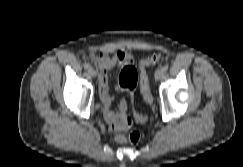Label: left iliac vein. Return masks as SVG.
I'll list each match as a JSON object with an SVG mask.
<instances>
[{
    "label": "left iliac vein",
    "mask_w": 243,
    "mask_h": 167,
    "mask_svg": "<svg viewBox=\"0 0 243 167\" xmlns=\"http://www.w3.org/2000/svg\"><path fill=\"white\" fill-rule=\"evenodd\" d=\"M164 77V71L162 69H157L155 72V79L160 80Z\"/></svg>",
    "instance_id": "4c4485c4"
}]
</instances>
